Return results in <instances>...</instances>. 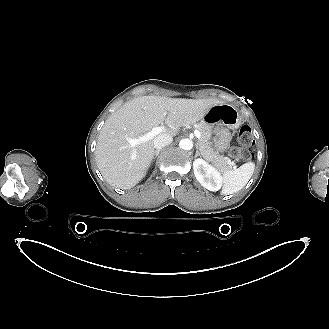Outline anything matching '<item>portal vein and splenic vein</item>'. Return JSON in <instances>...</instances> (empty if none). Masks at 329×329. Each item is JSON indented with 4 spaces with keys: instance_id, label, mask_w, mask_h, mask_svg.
<instances>
[{
    "instance_id": "portal-vein-and-splenic-vein-1",
    "label": "portal vein and splenic vein",
    "mask_w": 329,
    "mask_h": 329,
    "mask_svg": "<svg viewBox=\"0 0 329 329\" xmlns=\"http://www.w3.org/2000/svg\"><path fill=\"white\" fill-rule=\"evenodd\" d=\"M162 131H163V127H154L151 131L147 132L146 134L140 136L137 139L127 137L126 140L128 141V143L130 144L131 147H135L137 144H139L141 142H145V141L152 139L153 137H155ZM194 134L197 139L201 138V133L199 130H195ZM134 155H135V153H134Z\"/></svg>"
}]
</instances>
